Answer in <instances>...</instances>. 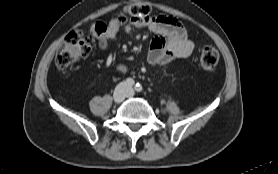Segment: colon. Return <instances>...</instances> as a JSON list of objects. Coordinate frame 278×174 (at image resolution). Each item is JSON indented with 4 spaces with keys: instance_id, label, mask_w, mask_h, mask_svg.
<instances>
[{
    "instance_id": "obj_1",
    "label": "colon",
    "mask_w": 278,
    "mask_h": 174,
    "mask_svg": "<svg viewBox=\"0 0 278 174\" xmlns=\"http://www.w3.org/2000/svg\"><path fill=\"white\" fill-rule=\"evenodd\" d=\"M149 12V7L144 3H130L108 23H94L91 27L93 36H87L78 30L70 32L56 52L55 63L57 67L66 68L77 60L88 56L95 45L94 37H114L119 31L124 17L146 15ZM199 62L203 70L213 71L219 62L217 49L213 46L203 48Z\"/></svg>"
}]
</instances>
